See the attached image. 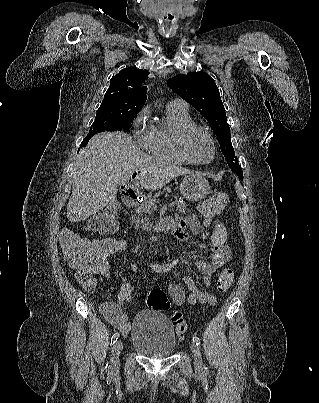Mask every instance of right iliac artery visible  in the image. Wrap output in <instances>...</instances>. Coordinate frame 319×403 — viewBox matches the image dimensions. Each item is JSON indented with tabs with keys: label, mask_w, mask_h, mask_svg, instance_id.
<instances>
[{
	"label": "right iliac artery",
	"mask_w": 319,
	"mask_h": 403,
	"mask_svg": "<svg viewBox=\"0 0 319 403\" xmlns=\"http://www.w3.org/2000/svg\"><path fill=\"white\" fill-rule=\"evenodd\" d=\"M118 338H119V333L118 332H115L113 335H112V337H111V343H110V345H113V344H115V342L118 340ZM107 370H109V365H108V363L106 364V367H105Z\"/></svg>",
	"instance_id": "1"
}]
</instances>
